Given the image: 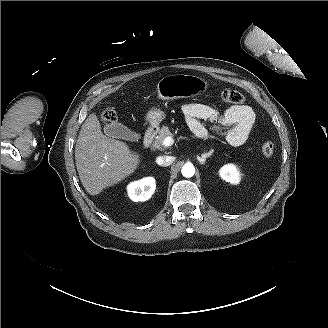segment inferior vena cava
Listing matches in <instances>:
<instances>
[{
  "label": "inferior vena cava",
  "mask_w": 328,
  "mask_h": 328,
  "mask_svg": "<svg viewBox=\"0 0 328 328\" xmlns=\"http://www.w3.org/2000/svg\"><path fill=\"white\" fill-rule=\"evenodd\" d=\"M173 161H174L173 156H166V155L157 157V159H156L157 164L164 166V167L171 165L173 163Z\"/></svg>",
  "instance_id": "inferior-vena-cava-1"
}]
</instances>
